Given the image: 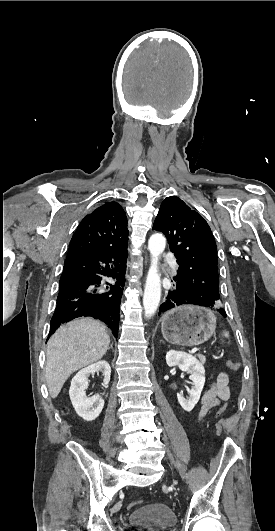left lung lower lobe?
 <instances>
[{
  "instance_id": "1",
  "label": "left lung lower lobe",
  "mask_w": 275,
  "mask_h": 531,
  "mask_svg": "<svg viewBox=\"0 0 275 531\" xmlns=\"http://www.w3.org/2000/svg\"><path fill=\"white\" fill-rule=\"evenodd\" d=\"M182 304H193L188 301H185L179 294L175 293L174 291H169L164 302L160 305L159 313H164L175 306H179ZM219 312L226 317V313L223 309H220Z\"/></svg>"
}]
</instances>
